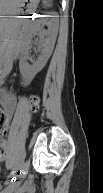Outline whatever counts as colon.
I'll return each instance as SVG.
<instances>
[{
  "instance_id": "1",
  "label": "colon",
  "mask_w": 103,
  "mask_h": 193,
  "mask_svg": "<svg viewBox=\"0 0 103 193\" xmlns=\"http://www.w3.org/2000/svg\"><path fill=\"white\" fill-rule=\"evenodd\" d=\"M38 102H39L38 97H36V96L30 97L31 109L33 111L37 110ZM2 121H4L3 116H2ZM1 133L2 134L6 133V127L5 126L2 128ZM6 148H7L6 141L4 139H2L0 142V154H1V156H4L6 154Z\"/></svg>"
}]
</instances>
